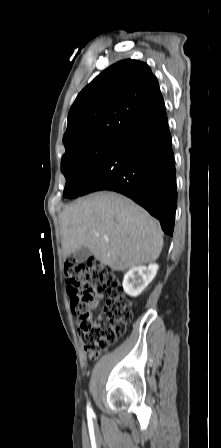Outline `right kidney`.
<instances>
[{"label":"right kidney","instance_id":"obj_1","mask_svg":"<svg viewBox=\"0 0 221 448\" xmlns=\"http://www.w3.org/2000/svg\"><path fill=\"white\" fill-rule=\"evenodd\" d=\"M158 271L157 264L137 266L131 268L123 278V290L131 297L139 296L148 284L154 279Z\"/></svg>","mask_w":221,"mask_h":448}]
</instances>
